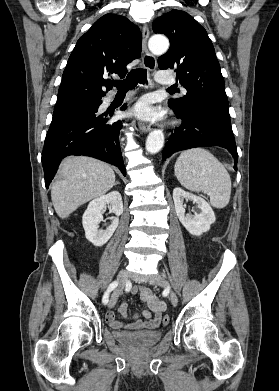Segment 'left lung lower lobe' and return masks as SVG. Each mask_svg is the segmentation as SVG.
<instances>
[{
  "label": "left lung lower lobe",
  "mask_w": 279,
  "mask_h": 391,
  "mask_svg": "<svg viewBox=\"0 0 279 391\" xmlns=\"http://www.w3.org/2000/svg\"><path fill=\"white\" fill-rule=\"evenodd\" d=\"M182 124L176 128L164 147L162 159L173 153L200 146H220L227 149L237 162L238 153L230 116L208 106L193 105L180 110L169 103ZM235 170L237 167L235 165Z\"/></svg>",
  "instance_id": "obj_1"
}]
</instances>
